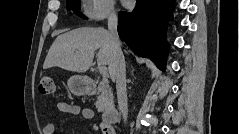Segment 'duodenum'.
<instances>
[{"label": "duodenum", "instance_id": "1", "mask_svg": "<svg viewBox=\"0 0 239 134\" xmlns=\"http://www.w3.org/2000/svg\"><path fill=\"white\" fill-rule=\"evenodd\" d=\"M95 82L91 78H89L86 81V89L88 90L89 93H92L95 90ZM119 114L116 108L110 107L106 109L103 115V123L105 127L111 128L113 127L117 120H118Z\"/></svg>", "mask_w": 239, "mask_h": 134}]
</instances>
